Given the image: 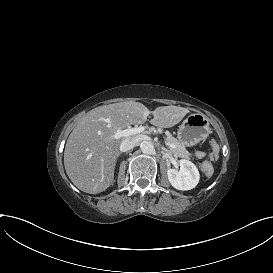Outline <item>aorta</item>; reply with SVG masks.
<instances>
[{"instance_id":"aorta-1","label":"aorta","mask_w":273,"mask_h":273,"mask_svg":"<svg viewBox=\"0 0 273 273\" xmlns=\"http://www.w3.org/2000/svg\"><path fill=\"white\" fill-rule=\"evenodd\" d=\"M140 148L144 154H152L155 151L154 145L150 141H142Z\"/></svg>"}]
</instances>
